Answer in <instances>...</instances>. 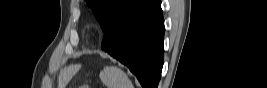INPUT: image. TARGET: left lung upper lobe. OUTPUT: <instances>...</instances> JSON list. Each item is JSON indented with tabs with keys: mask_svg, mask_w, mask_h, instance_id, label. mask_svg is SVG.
<instances>
[{
	"mask_svg": "<svg viewBox=\"0 0 267 88\" xmlns=\"http://www.w3.org/2000/svg\"><path fill=\"white\" fill-rule=\"evenodd\" d=\"M139 0H86L106 33L118 18Z\"/></svg>",
	"mask_w": 267,
	"mask_h": 88,
	"instance_id": "obj_1",
	"label": "left lung upper lobe"
}]
</instances>
